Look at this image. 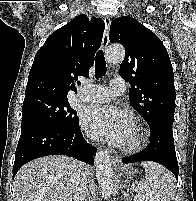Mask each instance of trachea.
Returning a JSON list of instances; mask_svg holds the SVG:
<instances>
[{
	"label": "trachea",
	"mask_w": 196,
	"mask_h": 201,
	"mask_svg": "<svg viewBox=\"0 0 196 201\" xmlns=\"http://www.w3.org/2000/svg\"><path fill=\"white\" fill-rule=\"evenodd\" d=\"M107 67L103 51L99 50L95 57V76L101 78L106 74Z\"/></svg>",
	"instance_id": "obj_1"
}]
</instances>
